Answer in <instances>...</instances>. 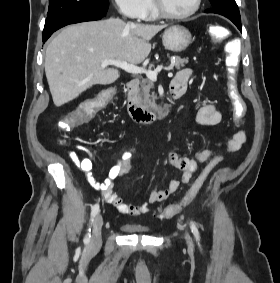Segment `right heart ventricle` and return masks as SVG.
Returning <instances> with one entry per match:
<instances>
[{
  "instance_id": "right-heart-ventricle-1",
  "label": "right heart ventricle",
  "mask_w": 280,
  "mask_h": 283,
  "mask_svg": "<svg viewBox=\"0 0 280 283\" xmlns=\"http://www.w3.org/2000/svg\"><path fill=\"white\" fill-rule=\"evenodd\" d=\"M145 19L147 20H154L157 18V15L155 14L153 8H152V5H151V2L149 1V7H148V11L144 17Z\"/></svg>"
}]
</instances>
